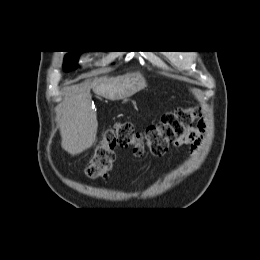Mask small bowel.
Segmentation results:
<instances>
[{"mask_svg": "<svg viewBox=\"0 0 260 260\" xmlns=\"http://www.w3.org/2000/svg\"><path fill=\"white\" fill-rule=\"evenodd\" d=\"M204 123H199L197 127H192L187 130V132L180 137L175 143L176 146H190L191 150H196L201 142L202 134L204 132Z\"/></svg>", "mask_w": 260, "mask_h": 260, "instance_id": "c3829d8e", "label": "small bowel"}]
</instances>
